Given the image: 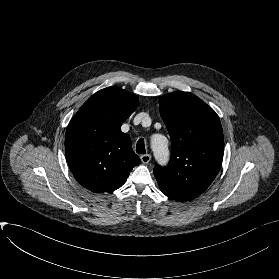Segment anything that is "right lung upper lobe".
<instances>
[{
	"mask_svg": "<svg viewBox=\"0 0 279 279\" xmlns=\"http://www.w3.org/2000/svg\"><path fill=\"white\" fill-rule=\"evenodd\" d=\"M138 98L119 87L92 95L71 119L65 135V154L76 180L95 193L120 188L140 164L122 123L138 107Z\"/></svg>",
	"mask_w": 279,
	"mask_h": 279,
	"instance_id": "cb5924a9",
	"label": "right lung upper lobe"
}]
</instances>
